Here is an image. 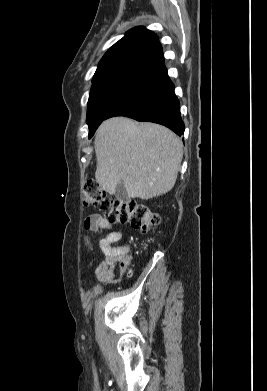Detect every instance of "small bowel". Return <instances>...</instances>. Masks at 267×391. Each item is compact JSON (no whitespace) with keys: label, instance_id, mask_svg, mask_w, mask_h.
<instances>
[{"label":"small bowel","instance_id":"obj_1","mask_svg":"<svg viewBox=\"0 0 267 391\" xmlns=\"http://www.w3.org/2000/svg\"><path fill=\"white\" fill-rule=\"evenodd\" d=\"M87 230L97 232L99 230H107L109 233L100 241V249L104 255V260L97 266L95 273L97 278L103 282H115L116 279L115 266L119 265L120 277L126 271L123 260L129 257L130 246L128 243H123L120 246H113L118 243L123 235L120 230H113V225L99 214L89 215L84 223ZM91 247V241H87Z\"/></svg>","mask_w":267,"mask_h":391}]
</instances>
